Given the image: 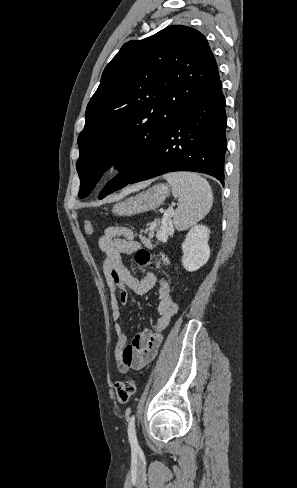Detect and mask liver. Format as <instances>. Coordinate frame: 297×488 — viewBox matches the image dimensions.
I'll return each instance as SVG.
<instances>
[{"label":"liver","mask_w":297,"mask_h":488,"mask_svg":"<svg viewBox=\"0 0 297 488\" xmlns=\"http://www.w3.org/2000/svg\"><path fill=\"white\" fill-rule=\"evenodd\" d=\"M146 185H147V183H143V184H139V185L134 186V187H130V188H128V189H126V190H124V191H123L121 194L114 196V198H113V199H120V198H122L124 195H126V194H128V193H130V192H132V191H134V190H137V189H140V188H142V187H145Z\"/></svg>","instance_id":"6515ba94"}]
</instances>
